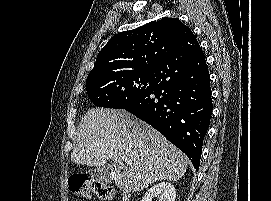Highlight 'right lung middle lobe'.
I'll list each match as a JSON object with an SVG mask.
<instances>
[{"label": "right lung middle lobe", "mask_w": 271, "mask_h": 201, "mask_svg": "<svg viewBox=\"0 0 271 201\" xmlns=\"http://www.w3.org/2000/svg\"><path fill=\"white\" fill-rule=\"evenodd\" d=\"M154 73H119L87 78L86 90L97 106L119 109L123 103L148 90Z\"/></svg>", "instance_id": "right-lung-middle-lobe-1"}]
</instances>
